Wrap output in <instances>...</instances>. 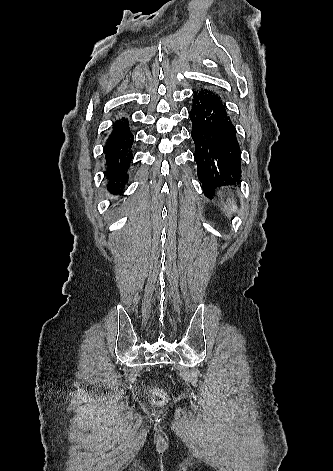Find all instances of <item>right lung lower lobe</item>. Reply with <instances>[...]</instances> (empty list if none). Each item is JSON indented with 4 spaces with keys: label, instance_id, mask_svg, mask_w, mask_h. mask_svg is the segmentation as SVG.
<instances>
[{
    "label": "right lung lower lobe",
    "instance_id": "right-lung-lower-lobe-1",
    "mask_svg": "<svg viewBox=\"0 0 333 471\" xmlns=\"http://www.w3.org/2000/svg\"><path fill=\"white\" fill-rule=\"evenodd\" d=\"M133 141L127 119L116 121L105 146L108 187L110 192L115 194H121L122 188L128 182L127 170L133 158Z\"/></svg>",
    "mask_w": 333,
    "mask_h": 471
}]
</instances>
